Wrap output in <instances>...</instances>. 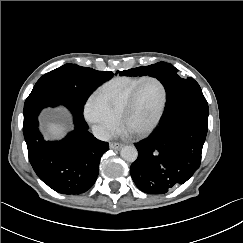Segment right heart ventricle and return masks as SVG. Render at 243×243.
Masks as SVG:
<instances>
[{
    "instance_id": "e07e8e85",
    "label": "right heart ventricle",
    "mask_w": 243,
    "mask_h": 243,
    "mask_svg": "<svg viewBox=\"0 0 243 243\" xmlns=\"http://www.w3.org/2000/svg\"><path fill=\"white\" fill-rule=\"evenodd\" d=\"M144 78V76L116 77L99 87L94 97L107 111L118 118L127 97Z\"/></svg>"
}]
</instances>
